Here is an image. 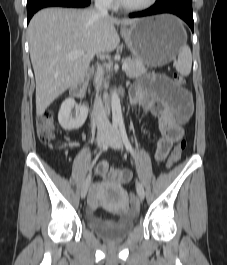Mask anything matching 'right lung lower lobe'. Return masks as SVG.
<instances>
[{
	"label": "right lung lower lobe",
	"mask_w": 227,
	"mask_h": 265,
	"mask_svg": "<svg viewBox=\"0 0 227 265\" xmlns=\"http://www.w3.org/2000/svg\"><path fill=\"white\" fill-rule=\"evenodd\" d=\"M90 4V0H34L27 3L28 22L38 10L45 7L61 6V7H86Z\"/></svg>",
	"instance_id": "right-lung-lower-lobe-1"
}]
</instances>
